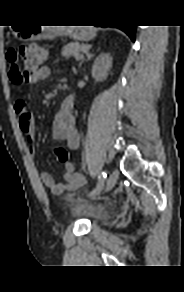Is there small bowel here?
Here are the masks:
<instances>
[{
	"instance_id": "small-bowel-1",
	"label": "small bowel",
	"mask_w": 184,
	"mask_h": 292,
	"mask_svg": "<svg viewBox=\"0 0 184 292\" xmlns=\"http://www.w3.org/2000/svg\"><path fill=\"white\" fill-rule=\"evenodd\" d=\"M50 75L48 67H41L33 76L27 80L30 84H35L44 80ZM71 97V105L66 108L62 104L61 109L54 116L51 134L55 140L65 141L69 149H76L79 146V131L76 126L75 119L71 114L73 97ZM14 109L19 117L20 130L24 136V140L31 154L36 151L35 133L36 125L33 113L23 99H18L14 103ZM43 184L55 194H62L65 191H74L85 185V177L75 170L72 163L66 164L65 182H56L50 173L41 174Z\"/></svg>"
}]
</instances>
